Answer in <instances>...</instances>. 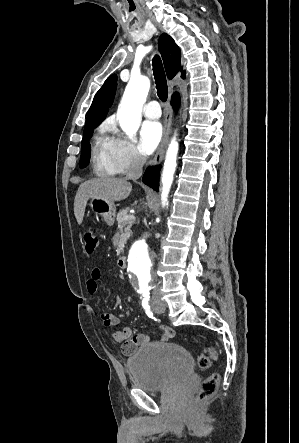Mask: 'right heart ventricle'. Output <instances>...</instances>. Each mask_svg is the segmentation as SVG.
Returning a JSON list of instances; mask_svg holds the SVG:
<instances>
[{"mask_svg": "<svg viewBox=\"0 0 299 443\" xmlns=\"http://www.w3.org/2000/svg\"><path fill=\"white\" fill-rule=\"evenodd\" d=\"M91 162L93 171L98 176H114L119 173L114 161L112 139L103 134L95 137Z\"/></svg>", "mask_w": 299, "mask_h": 443, "instance_id": "right-heart-ventricle-1", "label": "right heart ventricle"}]
</instances>
